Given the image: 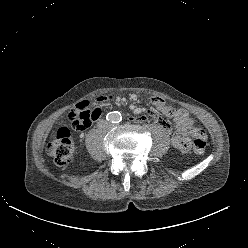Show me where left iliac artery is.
<instances>
[{
    "label": "left iliac artery",
    "instance_id": "1",
    "mask_svg": "<svg viewBox=\"0 0 248 248\" xmlns=\"http://www.w3.org/2000/svg\"><path fill=\"white\" fill-rule=\"evenodd\" d=\"M117 120H119L118 122L121 121V114L117 115Z\"/></svg>",
    "mask_w": 248,
    "mask_h": 248
}]
</instances>
